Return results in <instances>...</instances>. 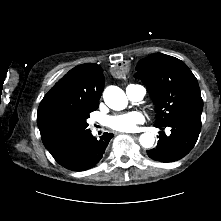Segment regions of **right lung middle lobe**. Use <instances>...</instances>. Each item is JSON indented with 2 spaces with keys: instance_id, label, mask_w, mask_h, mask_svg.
<instances>
[{
  "instance_id": "obj_1",
  "label": "right lung middle lobe",
  "mask_w": 221,
  "mask_h": 221,
  "mask_svg": "<svg viewBox=\"0 0 221 221\" xmlns=\"http://www.w3.org/2000/svg\"><path fill=\"white\" fill-rule=\"evenodd\" d=\"M90 112L60 109L48 113L41 123L38 122L42 141L48 151H57L85 134L89 130L86 120Z\"/></svg>"
}]
</instances>
